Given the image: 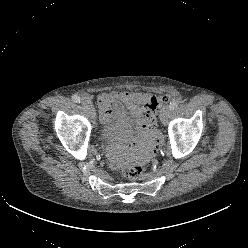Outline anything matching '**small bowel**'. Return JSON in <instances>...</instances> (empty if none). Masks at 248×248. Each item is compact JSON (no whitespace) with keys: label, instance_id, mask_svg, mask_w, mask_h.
Masks as SVG:
<instances>
[{"label":"small bowel","instance_id":"c3829d8e","mask_svg":"<svg viewBox=\"0 0 248 248\" xmlns=\"http://www.w3.org/2000/svg\"><path fill=\"white\" fill-rule=\"evenodd\" d=\"M153 97V96H152ZM149 94L141 92H118L110 91L99 95L98 106L100 117L103 122L109 121L117 111V105L123 104L129 114L134 118H141L146 111L152 98ZM143 133L140 141V147L144 150H154L160 143V135L156 130L150 129L143 121ZM108 159L112 165L119 160V155L113 149L108 152Z\"/></svg>","mask_w":248,"mask_h":248}]
</instances>
